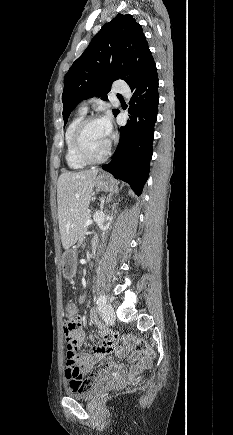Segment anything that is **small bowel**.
Here are the masks:
<instances>
[{
  "label": "small bowel",
  "instance_id": "c3829d8e",
  "mask_svg": "<svg viewBox=\"0 0 233 435\" xmlns=\"http://www.w3.org/2000/svg\"><path fill=\"white\" fill-rule=\"evenodd\" d=\"M70 306L77 312L76 305L70 304ZM89 317L91 322L95 325L98 334L100 335V337H102L103 343L101 346L93 347L92 353H79L77 355V359L81 363L82 372L84 371L90 372L93 366L99 363L100 361L104 360L107 354H112L117 358L128 357L130 362V367L126 369L128 374H132V375L136 374L141 369L148 366L147 360L142 358L137 353L130 351L125 346H115L113 351L110 352L106 351L104 348V343L107 338V329L101 322H99L97 314L94 310H91L89 312ZM85 341H86V333L82 328H80L78 331V338H77L78 345L84 344ZM121 369L122 367L118 361H116L115 359H110L103 368H101L98 372L93 374L92 378L97 380L102 378L103 376H106L110 373H115ZM79 374H80L79 371H77L71 366H67L65 369V378L67 380V384L69 386L74 385L77 382V378Z\"/></svg>",
  "mask_w": 233,
  "mask_h": 435
}]
</instances>
